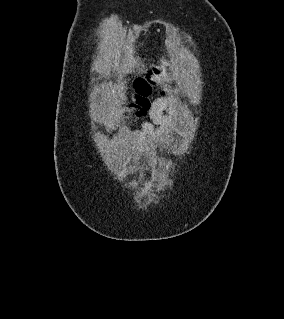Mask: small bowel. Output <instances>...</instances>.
Returning a JSON list of instances; mask_svg holds the SVG:
<instances>
[{
    "label": "small bowel",
    "instance_id": "obj_1",
    "mask_svg": "<svg viewBox=\"0 0 284 319\" xmlns=\"http://www.w3.org/2000/svg\"><path fill=\"white\" fill-rule=\"evenodd\" d=\"M168 100L160 99L150 110V121L144 122L138 132L134 134V139L143 152H149L152 145H161L170 140L173 127L166 113Z\"/></svg>",
    "mask_w": 284,
    "mask_h": 319
}]
</instances>
